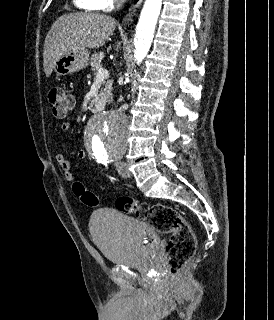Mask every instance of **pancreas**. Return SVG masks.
<instances>
[{"instance_id":"1","label":"pancreas","mask_w":274,"mask_h":320,"mask_svg":"<svg viewBox=\"0 0 274 320\" xmlns=\"http://www.w3.org/2000/svg\"><path fill=\"white\" fill-rule=\"evenodd\" d=\"M102 58H104V54L103 52H98V54H93L92 58H91V68L92 70H100V68H102V64H101V60ZM96 76V74H95ZM113 80H108L107 82V86L106 88H104L105 92H108V94H110V96H112L111 94V84H112Z\"/></svg>"}]
</instances>
